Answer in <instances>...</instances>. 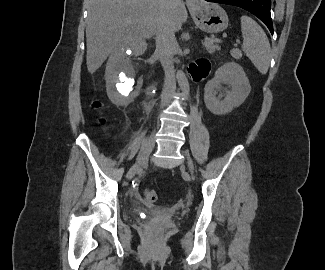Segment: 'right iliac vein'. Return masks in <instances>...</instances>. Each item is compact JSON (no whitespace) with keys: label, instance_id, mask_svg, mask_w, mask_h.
Wrapping results in <instances>:
<instances>
[{"label":"right iliac vein","instance_id":"right-iliac-vein-1","mask_svg":"<svg viewBox=\"0 0 325 270\" xmlns=\"http://www.w3.org/2000/svg\"><path fill=\"white\" fill-rule=\"evenodd\" d=\"M155 146V132H153L150 137L148 138L145 148L139 153L136 162L134 165L130 168V170L127 173V178L131 179L137 170L140 168L142 163H144L147 159L151 151L153 150Z\"/></svg>","mask_w":325,"mask_h":270}]
</instances>
